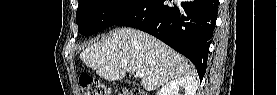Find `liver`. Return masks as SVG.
Masks as SVG:
<instances>
[{
    "label": "liver",
    "mask_w": 277,
    "mask_h": 95,
    "mask_svg": "<svg viewBox=\"0 0 277 95\" xmlns=\"http://www.w3.org/2000/svg\"><path fill=\"white\" fill-rule=\"evenodd\" d=\"M81 60L107 81H118L127 72L143 73L141 86L153 91L169 81L192 77L195 70L175 50L140 30L119 28L85 48Z\"/></svg>",
    "instance_id": "obj_1"
}]
</instances>
